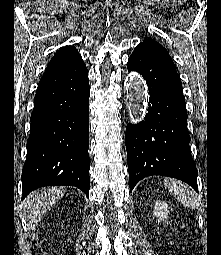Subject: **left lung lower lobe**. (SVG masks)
Returning a JSON list of instances; mask_svg holds the SVG:
<instances>
[{
	"label": "left lung lower lobe",
	"instance_id": "1",
	"mask_svg": "<svg viewBox=\"0 0 221 255\" xmlns=\"http://www.w3.org/2000/svg\"><path fill=\"white\" fill-rule=\"evenodd\" d=\"M127 67L128 71L143 76L150 94L144 120L126 128L130 192L140 180L151 175L177 178L198 192L185 98L175 67L143 47L134 49Z\"/></svg>",
	"mask_w": 221,
	"mask_h": 255
}]
</instances>
